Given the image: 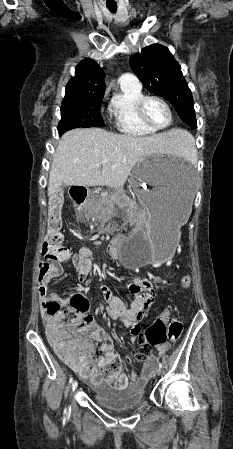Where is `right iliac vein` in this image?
<instances>
[{
  "mask_svg": "<svg viewBox=\"0 0 233 449\" xmlns=\"http://www.w3.org/2000/svg\"><path fill=\"white\" fill-rule=\"evenodd\" d=\"M77 386H78L77 381H73V382H72V388H73V390L77 389Z\"/></svg>",
  "mask_w": 233,
  "mask_h": 449,
  "instance_id": "right-iliac-vein-1",
  "label": "right iliac vein"
}]
</instances>
